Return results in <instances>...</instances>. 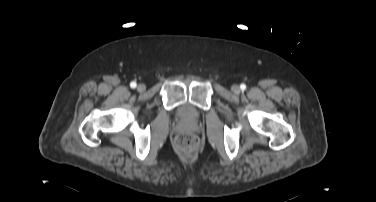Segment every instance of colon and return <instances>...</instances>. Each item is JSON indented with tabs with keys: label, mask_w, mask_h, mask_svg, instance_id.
Listing matches in <instances>:
<instances>
[{
	"label": "colon",
	"mask_w": 376,
	"mask_h": 202,
	"mask_svg": "<svg viewBox=\"0 0 376 202\" xmlns=\"http://www.w3.org/2000/svg\"><path fill=\"white\" fill-rule=\"evenodd\" d=\"M178 148L184 151H192L198 145V139L196 136L190 133L181 132L175 139Z\"/></svg>",
	"instance_id": "obj_1"
}]
</instances>
